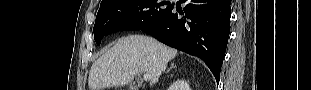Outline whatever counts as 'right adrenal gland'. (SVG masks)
I'll list each match as a JSON object with an SVG mask.
<instances>
[{
    "mask_svg": "<svg viewBox=\"0 0 311 90\" xmlns=\"http://www.w3.org/2000/svg\"><path fill=\"white\" fill-rule=\"evenodd\" d=\"M174 67L173 65H171V68ZM170 69H168L167 71H169Z\"/></svg>",
    "mask_w": 311,
    "mask_h": 90,
    "instance_id": "right-adrenal-gland-1",
    "label": "right adrenal gland"
}]
</instances>
